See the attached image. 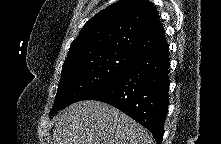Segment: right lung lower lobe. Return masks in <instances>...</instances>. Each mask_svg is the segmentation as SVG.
I'll return each instance as SVG.
<instances>
[{
	"label": "right lung lower lobe",
	"mask_w": 221,
	"mask_h": 144,
	"mask_svg": "<svg viewBox=\"0 0 221 144\" xmlns=\"http://www.w3.org/2000/svg\"><path fill=\"white\" fill-rule=\"evenodd\" d=\"M165 42L142 54L114 79L82 100L115 106L147 128L161 144L169 104V58Z\"/></svg>",
	"instance_id": "right-lung-lower-lobe-1"
}]
</instances>
